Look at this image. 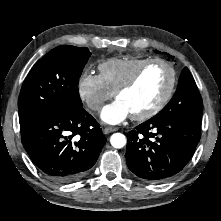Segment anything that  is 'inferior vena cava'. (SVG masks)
Here are the masks:
<instances>
[{"mask_svg": "<svg viewBox=\"0 0 221 221\" xmlns=\"http://www.w3.org/2000/svg\"><path fill=\"white\" fill-rule=\"evenodd\" d=\"M101 107H102V105L98 103V104H95V105L93 106V109H94V110H100Z\"/></svg>", "mask_w": 221, "mask_h": 221, "instance_id": "602c4592", "label": "inferior vena cava"}]
</instances>
